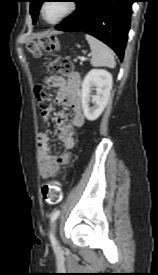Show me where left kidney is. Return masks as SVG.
I'll return each mask as SVG.
<instances>
[{
  "label": "left kidney",
  "mask_w": 158,
  "mask_h": 275,
  "mask_svg": "<svg viewBox=\"0 0 158 275\" xmlns=\"http://www.w3.org/2000/svg\"><path fill=\"white\" fill-rule=\"evenodd\" d=\"M112 75L105 69H91L84 77L81 90L82 108L85 117L94 121L102 114L108 103L112 89ZM95 87L96 95L91 96V89ZM94 104L89 107V103Z\"/></svg>",
  "instance_id": "left-kidney-1"
}]
</instances>
